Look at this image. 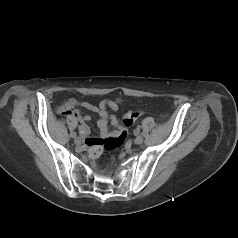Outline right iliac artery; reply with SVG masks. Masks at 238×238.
<instances>
[{
  "label": "right iliac artery",
  "instance_id": "obj_1",
  "mask_svg": "<svg viewBox=\"0 0 238 238\" xmlns=\"http://www.w3.org/2000/svg\"><path fill=\"white\" fill-rule=\"evenodd\" d=\"M76 136H77V134H76V133H73V134H72V137H73V138H75Z\"/></svg>",
  "mask_w": 238,
  "mask_h": 238
}]
</instances>
